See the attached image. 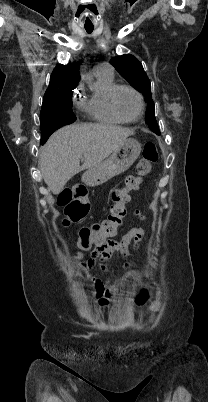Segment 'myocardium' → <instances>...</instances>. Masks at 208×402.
Wrapping results in <instances>:
<instances>
[{"mask_svg":"<svg viewBox=\"0 0 208 402\" xmlns=\"http://www.w3.org/2000/svg\"><path fill=\"white\" fill-rule=\"evenodd\" d=\"M122 90H129V91L133 92V93L138 97V99H139V102H140V111H139V114H138L136 117H134V118H127V117L123 116V115L119 112V110L117 109L116 98H117L118 93H119L120 91H122ZM110 108H111L112 113H113L120 121H123V122H125V123H133V122L138 121V120L143 116V114H144V110H145V101H144V97H143V95H142L138 90H136L135 88H133V87H131V86H128V85H119V86H117V87L112 91V93H111V96H110Z\"/></svg>","mask_w":208,"mask_h":402,"instance_id":"f54148a6","label":"myocardium"}]
</instances>
